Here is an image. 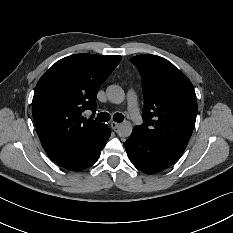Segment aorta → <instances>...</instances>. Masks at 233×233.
Listing matches in <instances>:
<instances>
[{"instance_id":"aorta-1","label":"aorta","mask_w":233,"mask_h":233,"mask_svg":"<svg viewBox=\"0 0 233 233\" xmlns=\"http://www.w3.org/2000/svg\"><path fill=\"white\" fill-rule=\"evenodd\" d=\"M106 95L108 100L114 104H122L125 101L126 95L120 86L111 85L107 88ZM133 125L130 121L124 120L119 124L117 130L119 136L128 137L131 135Z\"/></svg>"}]
</instances>
